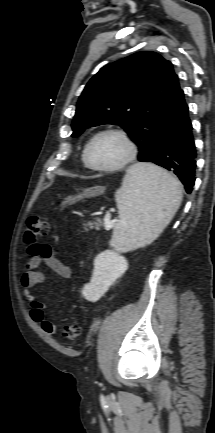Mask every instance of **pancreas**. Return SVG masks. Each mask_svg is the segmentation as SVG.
<instances>
[{
	"mask_svg": "<svg viewBox=\"0 0 215 433\" xmlns=\"http://www.w3.org/2000/svg\"><path fill=\"white\" fill-rule=\"evenodd\" d=\"M102 226V221L97 220L96 222H88L84 224L85 231H88L89 229H99V227Z\"/></svg>",
	"mask_w": 215,
	"mask_h": 433,
	"instance_id": "pancreas-1",
	"label": "pancreas"
}]
</instances>
